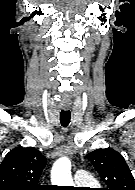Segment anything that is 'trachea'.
Wrapping results in <instances>:
<instances>
[{"instance_id": "obj_1", "label": "trachea", "mask_w": 135, "mask_h": 190, "mask_svg": "<svg viewBox=\"0 0 135 190\" xmlns=\"http://www.w3.org/2000/svg\"><path fill=\"white\" fill-rule=\"evenodd\" d=\"M71 112L70 110H62L60 113V122L63 127H67L70 123Z\"/></svg>"}]
</instances>
